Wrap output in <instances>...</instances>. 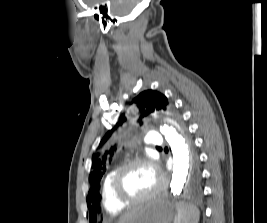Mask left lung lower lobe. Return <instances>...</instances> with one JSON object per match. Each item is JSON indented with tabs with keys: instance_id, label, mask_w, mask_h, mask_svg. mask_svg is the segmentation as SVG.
Returning <instances> with one entry per match:
<instances>
[{
	"instance_id": "left-lung-lower-lobe-1",
	"label": "left lung lower lobe",
	"mask_w": 267,
	"mask_h": 223,
	"mask_svg": "<svg viewBox=\"0 0 267 223\" xmlns=\"http://www.w3.org/2000/svg\"><path fill=\"white\" fill-rule=\"evenodd\" d=\"M188 176H191L193 180L197 181L202 176V171H188Z\"/></svg>"
}]
</instances>
